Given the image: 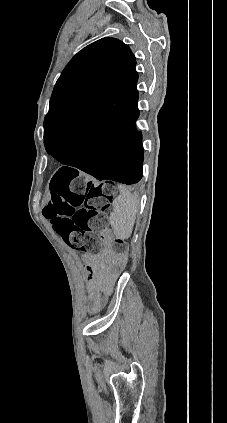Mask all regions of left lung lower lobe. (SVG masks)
Here are the masks:
<instances>
[{
	"label": "left lung lower lobe",
	"instance_id": "0a47b994",
	"mask_svg": "<svg viewBox=\"0 0 227 423\" xmlns=\"http://www.w3.org/2000/svg\"><path fill=\"white\" fill-rule=\"evenodd\" d=\"M138 116L139 112L107 114L88 125L81 134L49 143L46 150L61 163L76 167L98 180L128 185L137 183L142 177L144 156L142 134L135 127ZM61 169L73 177L79 174L73 168Z\"/></svg>",
	"mask_w": 227,
	"mask_h": 423
}]
</instances>
